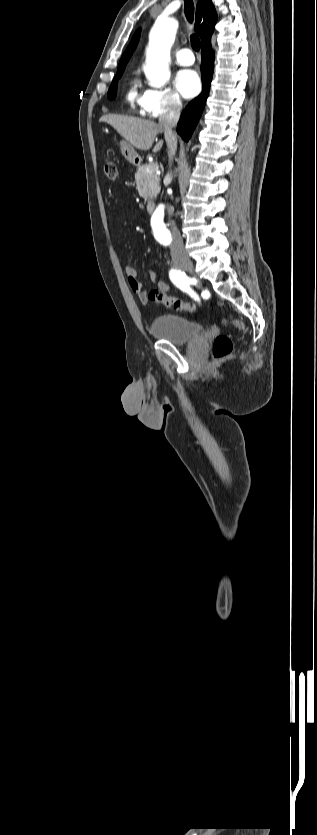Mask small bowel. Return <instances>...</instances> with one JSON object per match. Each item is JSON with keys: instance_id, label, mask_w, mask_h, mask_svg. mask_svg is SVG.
Masks as SVG:
<instances>
[{"instance_id": "small-bowel-1", "label": "small bowel", "mask_w": 317, "mask_h": 835, "mask_svg": "<svg viewBox=\"0 0 317 835\" xmlns=\"http://www.w3.org/2000/svg\"><path fill=\"white\" fill-rule=\"evenodd\" d=\"M126 274H127L128 283H129L130 288L132 289V291L134 293H136L138 295L141 302L145 303L146 302V292H145L142 284L138 280L137 271H136L135 267L128 266L126 268ZM149 278H150L151 282L153 284H155L159 290H161L165 293L169 291L170 287H169L168 283L165 282L162 279H159L157 273L154 270L149 271Z\"/></svg>"}]
</instances>
